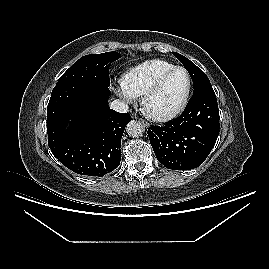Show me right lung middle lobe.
Returning a JSON list of instances; mask_svg holds the SVG:
<instances>
[{"instance_id":"1","label":"right lung middle lobe","mask_w":269,"mask_h":269,"mask_svg":"<svg viewBox=\"0 0 269 269\" xmlns=\"http://www.w3.org/2000/svg\"><path fill=\"white\" fill-rule=\"evenodd\" d=\"M120 57L117 52L85 55L61 76L56 85L66 82H78L109 87L108 72L110 64Z\"/></svg>"}]
</instances>
